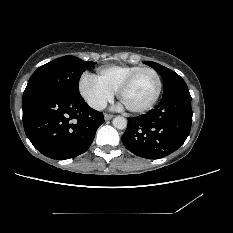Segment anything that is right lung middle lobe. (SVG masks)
<instances>
[{"instance_id":"dd1d6c3e","label":"right lung middle lobe","mask_w":233,"mask_h":233,"mask_svg":"<svg viewBox=\"0 0 233 233\" xmlns=\"http://www.w3.org/2000/svg\"><path fill=\"white\" fill-rule=\"evenodd\" d=\"M93 65L95 62H86L70 55L46 63L36 69L29 79L23 98L46 91L80 96L79 79Z\"/></svg>"}]
</instances>
